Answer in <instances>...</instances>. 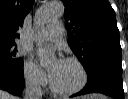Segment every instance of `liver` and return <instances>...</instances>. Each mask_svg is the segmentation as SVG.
Wrapping results in <instances>:
<instances>
[{
  "label": "liver",
  "instance_id": "1",
  "mask_svg": "<svg viewBox=\"0 0 128 99\" xmlns=\"http://www.w3.org/2000/svg\"><path fill=\"white\" fill-rule=\"evenodd\" d=\"M0 99H16L14 96L10 95L9 93L0 90ZM84 99H107L105 96L99 95V94H94V95H89L85 97Z\"/></svg>",
  "mask_w": 128,
  "mask_h": 99
}]
</instances>
